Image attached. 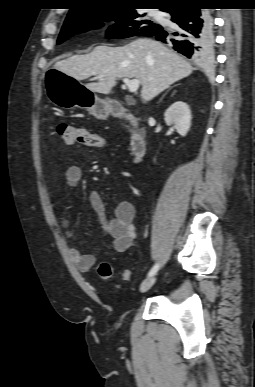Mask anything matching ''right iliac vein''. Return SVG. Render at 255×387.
<instances>
[{
  "label": "right iliac vein",
  "instance_id": "63e3f726",
  "mask_svg": "<svg viewBox=\"0 0 255 387\" xmlns=\"http://www.w3.org/2000/svg\"><path fill=\"white\" fill-rule=\"evenodd\" d=\"M155 281H156V277H150L145 279L140 286V292L141 293L147 292L154 285Z\"/></svg>",
  "mask_w": 255,
  "mask_h": 387
}]
</instances>
